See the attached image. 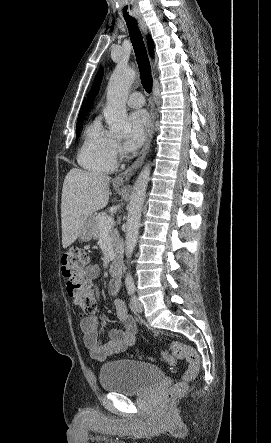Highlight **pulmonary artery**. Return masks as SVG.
<instances>
[{
  "mask_svg": "<svg viewBox=\"0 0 271 443\" xmlns=\"http://www.w3.org/2000/svg\"><path fill=\"white\" fill-rule=\"evenodd\" d=\"M127 104L133 108L142 107L145 104V98L141 92H132L126 99Z\"/></svg>",
  "mask_w": 271,
  "mask_h": 443,
  "instance_id": "e3ab8cb5",
  "label": "pulmonary artery"
}]
</instances>
